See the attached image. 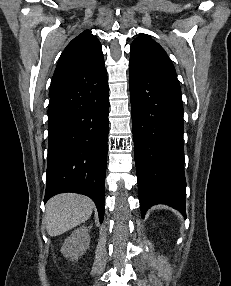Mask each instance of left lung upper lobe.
<instances>
[{"label": "left lung upper lobe", "mask_w": 231, "mask_h": 286, "mask_svg": "<svg viewBox=\"0 0 231 286\" xmlns=\"http://www.w3.org/2000/svg\"><path fill=\"white\" fill-rule=\"evenodd\" d=\"M130 54V62L153 72L177 77L175 68L165 50L146 36H140L134 40Z\"/></svg>", "instance_id": "5c2ea615"}]
</instances>
